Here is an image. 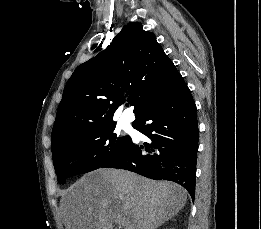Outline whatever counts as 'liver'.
Returning <instances> with one entry per match:
<instances>
[{
    "label": "liver",
    "mask_w": 261,
    "mask_h": 229,
    "mask_svg": "<svg viewBox=\"0 0 261 229\" xmlns=\"http://www.w3.org/2000/svg\"><path fill=\"white\" fill-rule=\"evenodd\" d=\"M187 191L123 169H97L69 187L61 203L67 229H157L175 217Z\"/></svg>",
    "instance_id": "1"
}]
</instances>
